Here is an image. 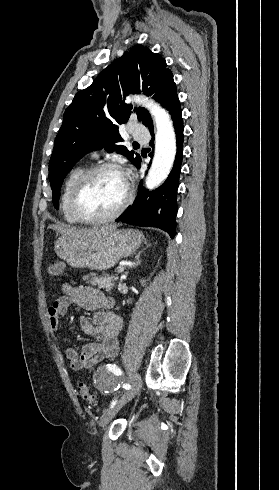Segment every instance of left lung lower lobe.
<instances>
[{
  "mask_svg": "<svg viewBox=\"0 0 279 490\" xmlns=\"http://www.w3.org/2000/svg\"><path fill=\"white\" fill-rule=\"evenodd\" d=\"M167 110L171 114L174 122V128L177 138V154L174 166L166 181L152 192L143 188L140 184L136 199L118 219L117 222H123L136 226L156 227L166 231L171 238L176 234V214H177V189L179 185V176L182 163L183 147V119L182 110L178 96H176ZM149 131L154 137L153 123L148 126ZM153 143V138L151 140ZM153 145V144H152ZM140 168L141 158L137 162Z\"/></svg>",
  "mask_w": 279,
  "mask_h": 490,
  "instance_id": "0a47b994",
  "label": "left lung lower lobe"
}]
</instances>
